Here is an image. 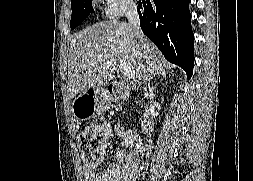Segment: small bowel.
Here are the masks:
<instances>
[{
	"mask_svg": "<svg viewBox=\"0 0 253 181\" xmlns=\"http://www.w3.org/2000/svg\"><path fill=\"white\" fill-rule=\"evenodd\" d=\"M115 131L127 150L118 151L116 154L118 163H111L103 172L85 169L87 181H136L138 178V165L145 150V144L132 130L117 127Z\"/></svg>",
	"mask_w": 253,
	"mask_h": 181,
	"instance_id": "c3829d8e",
	"label": "small bowel"
}]
</instances>
